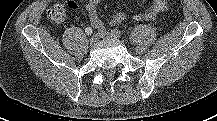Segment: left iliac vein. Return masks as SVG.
Wrapping results in <instances>:
<instances>
[{"label":"left iliac vein","mask_w":217,"mask_h":121,"mask_svg":"<svg viewBox=\"0 0 217 121\" xmlns=\"http://www.w3.org/2000/svg\"><path fill=\"white\" fill-rule=\"evenodd\" d=\"M103 38H110V39H117L118 36H116L114 33L112 32H106L104 34H102Z\"/></svg>","instance_id":"left-iliac-vein-1"}]
</instances>
